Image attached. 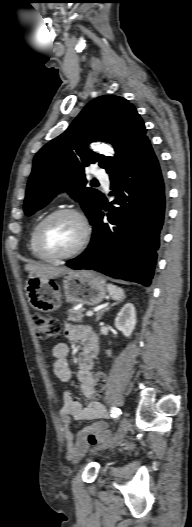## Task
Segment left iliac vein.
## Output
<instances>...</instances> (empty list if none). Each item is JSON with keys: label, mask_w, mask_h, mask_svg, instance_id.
I'll list each match as a JSON object with an SVG mask.
<instances>
[{"label": "left iliac vein", "mask_w": 192, "mask_h": 527, "mask_svg": "<svg viewBox=\"0 0 192 527\" xmlns=\"http://www.w3.org/2000/svg\"><path fill=\"white\" fill-rule=\"evenodd\" d=\"M128 420L127 418H122L121 422H120V426H119V429H118V432L117 434L113 437V439H111L110 441L102 444V445H99L96 450H100V449H105L107 447H111L117 443H119L126 435L127 431H128Z\"/></svg>", "instance_id": "1"}]
</instances>
